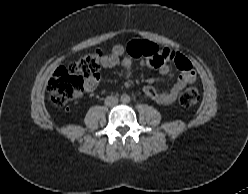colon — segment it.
Listing matches in <instances>:
<instances>
[{"label": "colon", "instance_id": "1", "mask_svg": "<svg viewBox=\"0 0 248 194\" xmlns=\"http://www.w3.org/2000/svg\"><path fill=\"white\" fill-rule=\"evenodd\" d=\"M128 53L135 57H156L160 51L158 47L150 41H131L127 45ZM182 61L183 57L172 53L169 57L156 59V64L166 60ZM103 61L100 50L81 56L73 63L58 68L48 83V91L52 102L57 106H64L69 101L78 97L84 90L85 79L97 76ZM199 100L198 89L194 85L188 86L180 95L179 103L185 108L194 106Z\"/></svg>", "mask_w": 248, "mask_h": 194}]
</instances>
